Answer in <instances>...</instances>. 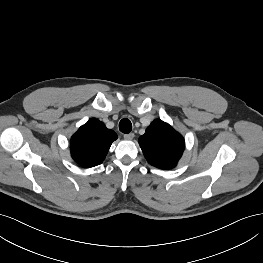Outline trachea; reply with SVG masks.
Masks as SVG:
<instances>
[{
    "mask_svg": "<svg viewBox=\"0 0 263 263\" xmlns=\"http://www.w3.org/2000/svg\"><path fill=\"white\" fill-rule=\"evenodd\" d=\"M119 130L125 134H128L131 132L132 130V124L131 121L127 118H123L120 122H119Z\"/></svg>",
    "mask_w": 263,
    "mask_h": 263,
    "instance_id": "obj_1",
    "label": "trachea"
}]
</instances>
